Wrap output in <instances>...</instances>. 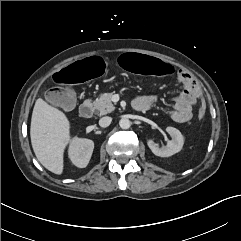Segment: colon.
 Listing matches in <instances>:
<instances>
[{"label":"colon","instance_id":"obj_1","mask_svg":"<svg viewBox=\"0 0 241 241\" xmlns=\"http://www.w3.org/2000/svg\"><path fill=\"white\" fill-rule=\"evenodd\" d=\"M120 66L128 71L143 73L157 78L168 79L177 76L179 69L171 64L168 59L146 56L142 52L135 54L127 52L119 59ZM106 72V60L97 53H92L72 62L69 67L54 71L50 76L51 83L59 88H55L48 93L51 103L63 108H69L74 102V95L69 89L63 88L64 84L71 85L75 82L90 81L96 77H101ZM206 108L202 104L198 110V117L205 116Z\"/></svg>","mask_w":241,"mask_h":241}]
</instances>
